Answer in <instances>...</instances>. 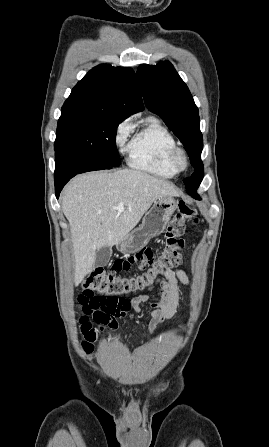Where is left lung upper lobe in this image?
Segmentation results:
<instances>
[{"mask_svg": "<svg viewBox=\"0 0 269 447\" xmlns=\"http://www.w3.org/2000/svg\"><path fill=\"white\" fill-rule=\"evenodd\" d=\"M137 80L147 108L159 115L185 146L194 173L183 182L188 193L197 189L204 173L201 161L203 138L198 108L187 85L168 61L152 66L140 65Z\"/></svg>", "mask_w": 269, "mask_h": 447, "instance_id": "1", "label": "left lung upper lobe"}]
</instances>
